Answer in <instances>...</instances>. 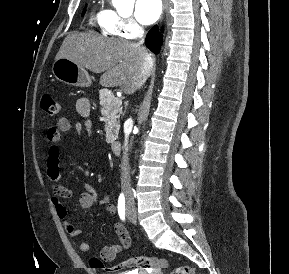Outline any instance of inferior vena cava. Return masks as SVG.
<instances>
[{"label": "inferior vena cava", "instance_id": "1", "mask_svg": "<svg viewBox=\"0 0 289 274\" xmlns=\"http://www.w3.org/2000/svg\"><path fill=\"white\" fill-rule=\"evenodd\" d=\"M143 36H144V30L142 28H140V30H139L140 41L137 44L138 46L143 44V42H144ZM152 65H153V61H152L150 55H146L145 61H144V72L149 73L150 68H152ZM143 82H144V80L141 81L139 83V85L141 86ZM131 128H132V120L128 119L124 124V131H125L124 147H125V151H124V155H123L122 162H121V188L126 195L131 194L130 166H129V158L127 155L128 137H129V132H130Z\"/></svg>", "mask_w": 289, "mask_h": 274}]
</instances>
